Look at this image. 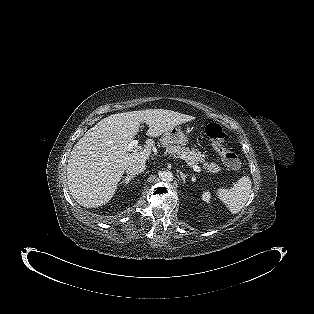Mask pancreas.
Wrapping results in <instances>:
<instances>
[{
  "label": "pancreas",
  "instance_id": "obj_1",
  "mask_svg": "<svg viewBox=\"0 0 314 314\" xmlns=\"http://www.w3.org/2000/svg\"><path fill=\"white\" fill-rule=\"evenodd\" d=\"M166 148V154H170L173 157L181 158L186 161L189 166H194L195 164L203 163L208 172L218 173L221 171V167L212 162L210 164L205 162V156L197 149L192 148L191 150L188 147H182L180 145H175L173 143H167L163 145Z\"/></svg>",
  "mask_w": 314,
  "mask_h": 314
}]
</instances>
